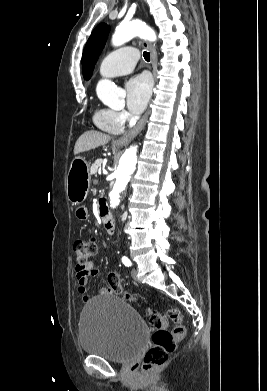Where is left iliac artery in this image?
Instances as JSON below:
<instances>
[{
    "instance_id": "obj_1",
    "label": "left iliac artery",
    "mask_w": 267,
    "mask_h": 391,
    "mask_svg": "<svg viewBox=\"0 0 267 391\" xmlns=\"http://www.w3.org/2000/svg\"><path fill=\"white\" fill-rule=\"evenodd\" d=\"M122 262H123V264L125 266H131L132 265L131 261L127 257H125V256L122 258Z\"/></svg>"
}]
</instances>
